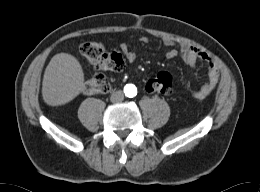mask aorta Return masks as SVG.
Wrapping results in <instances>:
<instances>
[{
	"mask_svg": "<svg viewBox=\"0 0 260 192\" xmlns=\"http://www.w3.org/2000/svg\"><path fill=\"white\" fill-rule=\"evenodd\" d=\"M125 91L128 95L133 96L136 92V88L133 85H128V86H126Z\"/></svg>",
	"mask_w": 260,
	"mask_h": 192,
	"instance_id": "1",
	"label": "aorta"
}]
</instances>
